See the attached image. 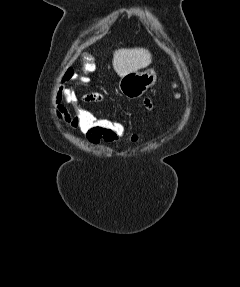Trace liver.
I'll use <instances>...</instances> for the list:
<instances>
[{
  "label": "liver",
  "instance_id": "liver-1",
  "mask_svg": "<svg viewBox=\"0 0 240 287\" xmlns=\"http://www.w3.org/2000/svg\"><path fill=\"white\" fill-rule=\"evenodd\" d=\"M152 62L151 53L144 48L118 49L113 53L112 65L120 77L147 67Z\"/></svg>",
  "mask_w": 240,
  "mask_h": 287
}]
</instances>
